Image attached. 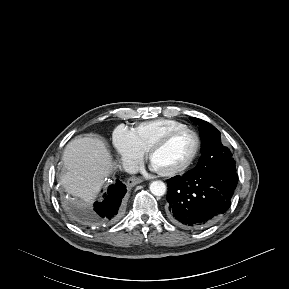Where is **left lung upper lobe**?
I'll return each instance as SVG.
<instances>
[{
    "label": "left lung upper lobe",
    "instance_id": "1",
    "mask_svg": "<svg viewBox=\"0 0 289 289\" xmlns=\"http://www.w3.org/2000/svg\"><path fill=\"white\" fill-rule=\"evenodd\" d=\"M191 120L199 125L202 141V155L198 165L194 169L211 168L223 164L235 167L230 150L221 143L220 132L204 120L194 117H191Z\"/></svg>",
    "mask_w": 289,
    "mask_h": 289
}]
</instances>
